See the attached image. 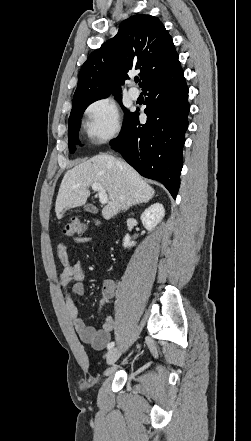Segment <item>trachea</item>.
I'll return each mask as SVG.
<instances>
[{"label": "trachea", "instance_id": "obj_1", "mask_svg": "<svg viewBox=\"0 0 251 441\" xmlns=\"http://www.w3.org/2000/svg\"><path fill=\"white\" fill-rule=\"evenodd\" d=\"M134 80H135L136 83L138 82V78H135Z\"/></svg>", "mask_w": 251, "mask_h": 441}]
</instances>
